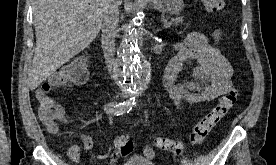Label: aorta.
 <instances>
[{"label": "aorta", "mask_w": 276, "mask_h": 165, "mask_svg": "<svg viewBox=\"0 0 276 165\" xmlns=\"http://www.w3.org/2000/svg\"><path fill=\"white\" fill-rule=\"evenodd\" d=\"M117 74L122 87L131 94H138L144 89L149 64L141 53L139 35L133 26L126 30L120 44Z\"/></svg>", "instance_id": "obj_1"}]
</instances>
